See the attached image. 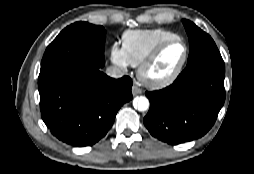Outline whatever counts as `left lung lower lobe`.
Instances as JSON below:
<instances>
[{
  "label": "left lung lower lobe",
  "instance_id": "left-lung-lower-lobe-1",
  "mask_svg": "<svg viewBox=\"0 0 254 174\" xmlns=\"http://www.w3.org/2000/svg\"><path fill=\"white\" fill-rule=\"evenodd\" d=\"M224 77L225 70L206 68L145 92L150 109L143 122L150 134L174 145L205 135L224 104Z\"/></svg>",
  "mask_w": 254,
  "mask_h": 174
}]
</instances>
